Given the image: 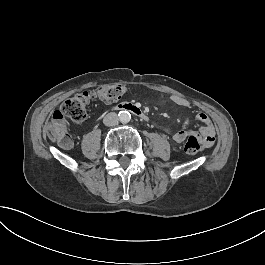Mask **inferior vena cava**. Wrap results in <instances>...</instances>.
I'll use <instances>...</instances> for the list:
<instances>
[{
  "label": "inferior vena cava",
  "instance_id": "inferior-vena-cava-1",
  "mask_svg": "<svg viewBox=\"0 0 265 265\" xmlns=\"http://www.w3.org/2000/svg\"><path fill=\"white\" fill-rule=\"evenodd\" d=\"M118 122H119V117L116 113H109L103 119V123L108 127L115 126L118 124Z\"/></svg>",
  "mask_w": 265,
  "mask_h": 265
}]
</instances>
